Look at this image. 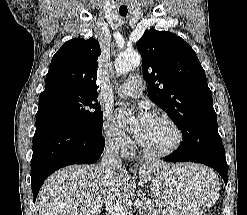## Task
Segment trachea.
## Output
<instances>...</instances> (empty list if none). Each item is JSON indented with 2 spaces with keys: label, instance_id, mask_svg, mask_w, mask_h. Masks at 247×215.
<instances>
[{
  "label": "trachea",
  "instance_id": "trachea-1",
  "mask_svg": "<svg viewBox=\"0 0 247 215\" xmlns=\"http://www.w3.org/2000/svg\"><path fill=\"white\" fill-rule=\"evenodd\" d=\"M121 16H126V14H121Z\"/></svg>",
  "mask_w": 247,
  "mask_h": 215
}]
</instances>
